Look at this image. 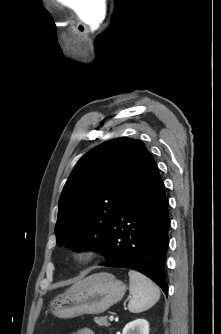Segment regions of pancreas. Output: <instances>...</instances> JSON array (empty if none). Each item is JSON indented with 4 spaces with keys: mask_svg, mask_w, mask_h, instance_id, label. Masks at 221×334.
I'll list each match as a JSON object with an SVG mask.
<instances>
[{
    "mask_svg": "<svg viewBox=\"0 0 221 334\" xmlns=\"http://www.w3.org/2000/svg\"><path fill=\"white\" fill-rule=\"evenodd\" d=\"M94 321H95V323L98 326H105V327H109L110 326V323L108 322L106 316H104V317H95Z\"/></svg>",
    "mask_w": 221,
    "mask_h": 334,
    "instance_id": "obj_1",
    "label": "pancreas"
}]
</instances>
